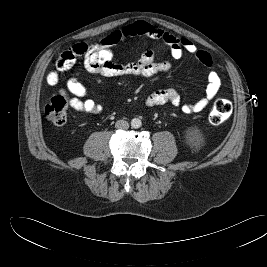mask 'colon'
Returning <instances> with one entry per match:
<instances>
[{"label": "colon", "instance_id": "colon-1", "mask_svg": "<svg viewBox=\"0 0 267 267\" xmlns=\"http://www.w3.org/2000/svg\"><path fill=\"white\" fill-rule=\"evenodd\" d=\"M232 114V104L227 99H218L214 102L209 114V122L219 125L225 122ZM46 118L56 126H62L67 121L68 104L64 97L54 96L45 107Z\"/></svg>", "mask_w": 267, "mask_h": 267}]
</instances>
